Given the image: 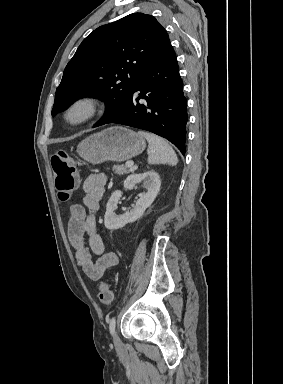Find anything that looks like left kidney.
<instances>
[{"label": "left kidney", "instance_id": "left-kidney-1", "mask_svg": "<svg viewBox=\"0 0 283 384\" xmlns=\"http://www.w3.org/2000/svg\"><path fill=\"white\" fill-rule=\"evenodd\" d=\"M140 182L143 184L142 188H146L147 192L140 196L133 210L125 212L121 216H116L115 210H117V204H119V200L122 198V192L120 190L113 192L111 198H109L104 218V226L107 230H119V228H123L126 224L136 222V220L143 216L146 208H149L152 202H154L161 186L158 174L154 170L145 172V174H131V176L126 178L124 188L126 190H133L136 184H140Z\"/></svg>", "mask_w": 283, "mask_h": 384}]
</instances>
